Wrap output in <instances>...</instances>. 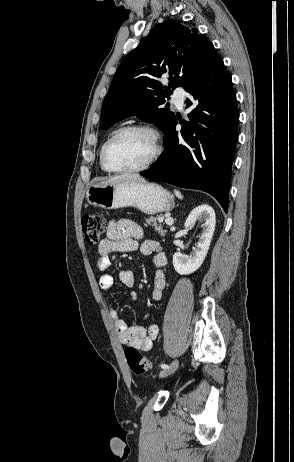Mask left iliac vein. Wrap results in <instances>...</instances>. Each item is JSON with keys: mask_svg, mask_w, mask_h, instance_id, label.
<instances>
[{"mask_svg": "<svg viewBox=\"0 0 294 462\" xmlns=\"http://www.w3.org/2000/svg\"><path fill=\"white\" fill-rule=\"evenodd\" d=\"M178 365H179V361L178 360H174L171 364H170V367L167 368V369H164L160 372V377H166L170 374H172L173 372H175V370L178 368Z\"/></svg>", "mask_w": 294, "mask_h": 462, "instance_id": "1", "label": "left iliac vein"}]
</instances>
